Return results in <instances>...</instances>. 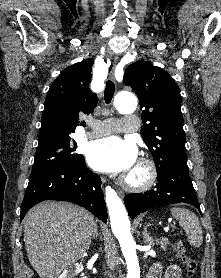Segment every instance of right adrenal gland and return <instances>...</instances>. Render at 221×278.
Wrapping results in <instances>:
<instances>
[{
  "instance_id": "2a0ac1e0",
  "label": "right adrenal gland",
  "mask_w": 221,
  "mask_h": 278,
  "mask_svg": "<svg viewBox=\"0 0 221 278\" xmlns=\"http://www.w3.org/2000/svg\"><path fill=\"white\" fill-rule=\"evenodd\" d=\"M98 236H99V233H98V231L96 230L95 233H94V235H93V239L98 238Z\"/></svg>"
}]
</instances>
